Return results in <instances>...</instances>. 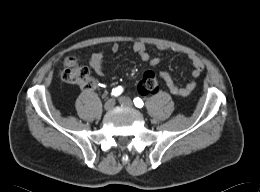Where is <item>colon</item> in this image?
I'll list each match as a JSON object with an SVG mask.
<instances>
[{
    "label": "colon",
    "instance_id": "obj_1",
    "mask_svg": "<svg viewBox=\"0 0 260 192\" xmlns=\"http://www.w3.org/2000/svg\"><path fill=\"white\" fill-rule=\"evenodd\" d=\"M62 77L66 82L76 84L84 90H90L95 86V80L91 76L88 68L81 66L74 58H69L66 60ZM150 84V93L157 91L159 88L158 78L154 77L150 81Z\"/></svg>",
    "mask_w": 260,
    "mask_h": 192
}]
</instances>
